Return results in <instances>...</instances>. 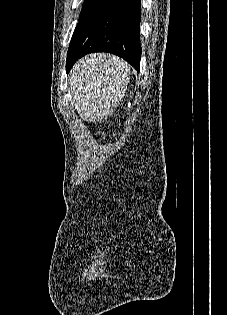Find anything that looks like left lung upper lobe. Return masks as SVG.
Masks as SVG:
<instances>
[{
    "label": "left lung upper lobe",
    "mask_w": 227,
    "mask_h": 315,
    "mask_svg": "<svg viewBox=\"0 0 227 315\" xmlns=\"http://www.w3.org/2000/svg\"><path fill=\"white\" fill-rule=\"evenodd\" d=\"M97 2V0H85L82 10H81V14H80V18L79 20L91 9V7Z\"/></svg>",
    "instance_id": "obj_1"
}]
</instances>
